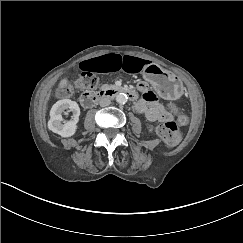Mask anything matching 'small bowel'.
<instances>
[{"label":"small bowel","instance_id":"small-bowel-1","mask_svg":"<svg viewBox=\"0 0 243 243\" xmlns=\"http://www.w3.org/2000/svg\"><path fill=\"white\" fill-rule=\"evenodd\" d=\"M146 66V61L142 58L119 55L105 54L85 60L81 62L80 68L86 72H115L126 71L129 73H138ZM139 90L142 92V99L136 104L138 112L143 113L148 121H166L169 114L158 102L157 96L151 91L146 83L138 84Z\"/></svg>","mask_w":243,"mask_h":243}]
</instances>
